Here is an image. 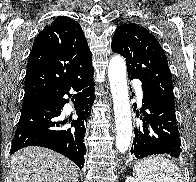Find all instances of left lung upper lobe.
Wrapping results in <instances>:
<instances>
[{"label": "left lung upper lobe", "mask_w": 196, "mask_h": 182, "mask_svg": "<svg viewBox=\"0 0 196 182\" xmlns=\"http://www.w3.org/2000/svg\"><path fill=\"white\" fill-rule=\"evenodd\" d=\"M111 48L126 59L128 74L175 107L172 75L165 52L146 28L135 23L118 26Z\"/></svg>", "instance_id": "obj_1"}]
</instances>
